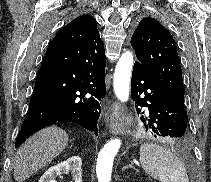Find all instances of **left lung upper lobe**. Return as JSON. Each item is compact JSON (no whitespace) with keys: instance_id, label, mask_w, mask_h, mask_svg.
<instances>
[{"instance_id":"obj_1","label":"left lung upper lobe","mask_w":211,"mask_h":182,"mask_svg":"<svg viewBox=\"0 0 211 182\" xmlns=\"http://www.w3.org/2000/svg\"><path fill=\"white\" fill-rule=\"evenodd\" d=\"M137 63L167 92L184 103L182 80L176 43L157 20L147 17L140 21L131 38Z\"/></svg>"}]
</instances>
